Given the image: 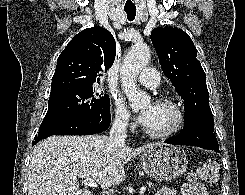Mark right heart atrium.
I'll use <instances>...</instances> for the list:
<instances>
[{"mask_svg": "<svg viewBox=\"0 0 245 195\" xmlns=\"http://www.w3.org/2000/svg\"><path fill=\"white\" fill-rule=\"evenodd\" d=\"M112 119L114 124L120 129H127L133 126V116L124 101L119 97H115L113 100Z\"/></svg>", "mask_w": 245, "mask_h": 195, "instance_id": "d8ad5b80", "label": "right heart atrium"}]
</instances>
